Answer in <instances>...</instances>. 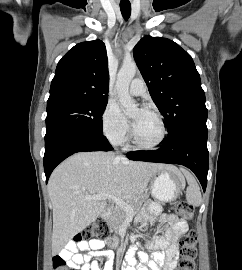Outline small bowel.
<instances>
[{"label":"small bowel","instance_id":"c3829d8e","mask_svg":"<svg viewBox=\"0 0 242 270\" xmlns=\"http://www.w3.org/2000/svg\"><path fill=\"white\" fill-rule=\"evenodd\" d=\"M159 216L165 227L164 234L152 238L146 242L148 248L154 250L151 259L146 252L140 251L137 256L140 264L137 263L133 252L125 255L123 270H174L178 262V239L187 232L188 224L185 220L173 214L161 213L157 204L149 206V214L139 217L142 222L149 217ZM105 242L92 240L89 242H69L60 255L65 259L69 268L75 270H113V256L110 251L102 250ZM94 258H104L106 262L100 267Z\"/></svg>","mask_w":242,"mask_h":270}]
</instances>
